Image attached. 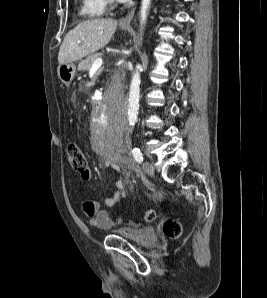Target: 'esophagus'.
<instances>
[{"label":"esophagus","instance_id":"34e87169","mask_svg":"<svg viewBox=\"0 0 267 298\" xmlns=\"http://www.w3.org/2000/svg\"><path fill=\"white\" fill-rule=\"evenodd\" d=\"M134 11H135V9L133 8L132 10L129 11V13L125 17L121 18L119 21V25L120 26H129L133 19Z\"/></svg>","mask_w":267,"mask_h":298}]
</instances>
